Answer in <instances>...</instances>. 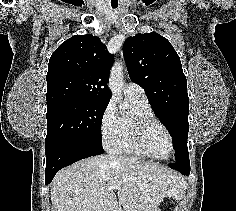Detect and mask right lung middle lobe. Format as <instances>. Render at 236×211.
<instances>
[{
	"label": "right lung middle lobe",
	"mask_w": 236,
	"mask_h": 211,
	"mask_svg": "<svg viewBox=\"0 0 236 211\" xmlns=\"http://www.w3.org/2000/svg\"><path fill=\"white\" fill-rule=\"evenodd\" d=\"M107 102L70 100L47 107L46 142L83 140L102 146L101 123Z\"/></svg>",
	"instance_id": "dd1d6c3e"
}]
</instances>
